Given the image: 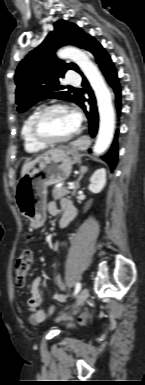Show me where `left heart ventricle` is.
Instances as JSON below:
<instances>
[{
    "label": "left heart ventricle",
    "instance_id": "b2bd125f",
    "mask_svg": "<svg viewBox=\"0 0 145 385\" xmlns=\"http://www.w3.org/2000/svg\"><path fill=\"white\" fill-rule=\"evenodd\" d=\"M78 125L72 114L55 110L50 112L41 124L42 133L50 139H61L72 134Z\"/></svg>",
    "mask_w": 145,
    "mask_h": 385
}]
</instances>
